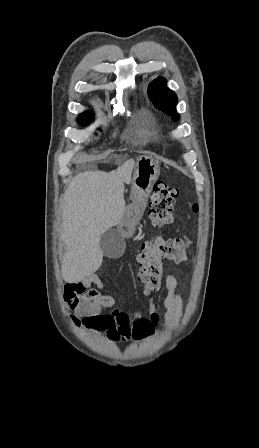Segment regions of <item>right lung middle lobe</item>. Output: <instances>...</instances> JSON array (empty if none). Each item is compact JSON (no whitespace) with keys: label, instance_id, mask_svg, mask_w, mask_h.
I'll list each match as a JSON object with an SVG mask.
<instances>
[{"label":"right lung middle lobe","instance_id":"1","mask_svg":"<svg viewBox=\"0 0 259 448\" xmlns=\"http://www.w3.org/2000/svg\"><path fill=\"white\" fill-rule=\"evenodd\" d=\"M93 121V116L91 114L80 115L78 118V122L81 126H87Z\"/></svg>","mask_w":259,"mask_h":448}]
</instances>
